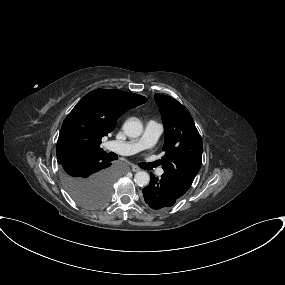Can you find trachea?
I'll return each mask as SVG.
<instances>
[{"instance_id":"3493384b","label":"trachea","mask_w":285,"mask_h":285,"mask_svg":"<svg viewBox=\"0 0 285 285\" xmlns=\"http://www.w3.org/2000/svg\"><path fill=\"white\" fill-rule=\"evenodd\" d=\"M151 168L158 166L157 163H152L151 165H149Z\"/></svg>"}]
</instances>
